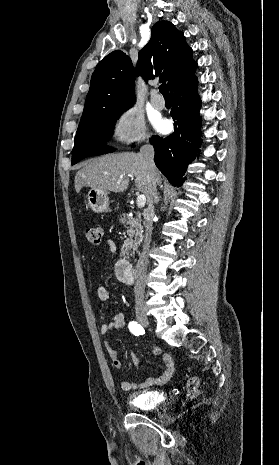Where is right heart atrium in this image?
Returning <instances> with one entry per match:
<instances>
[{
  "label": "right heart atrium",
  "instance_id": "right-heart-atrium-1",
  "mask_svg": "<svg viewBox=\"0 0 279 465\" xmlns=\"http://www.w3.org/2000/svg\"><path fill=\"white\" fill-rule=\"evenodd\" d=\"M112 137L123 145L146 141L149 134L142 113L132 106L120 110L112 126Z\"/></svg>",
  "mask_w": 279,
  "mask_h": 465
}]
</instances>
